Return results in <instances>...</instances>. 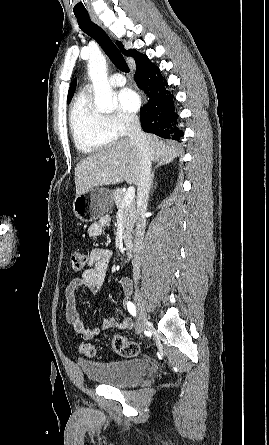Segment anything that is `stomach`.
I'll use <instances>...</instances> for the list:
<instances>
[{"mask_svg": "<svg viewBox=\"0 0 269 445\" xmlns=\"http://www.w3.org/2000/svg\"><path fill=\"white\" fill-rule=\"evenodd\" d=\"M113 193L106 188H95L77 196L73 203L75 216L82 222H93L113 207Z\"/></svg>", "mask_w": 269, "mask_h": 445, "instance_id": "0dacf381", "label": "stomach"}]
</instances>
